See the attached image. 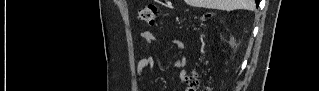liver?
Listing matches in <instances>:
<instances>
[{
    "label": "liver",
    "instance_id": "obj_1",
    "mask_svg": "<svg viewBox=\"0 0 319 91\" xmlns=\"http://www.w3.org/2000/svg\"><path fill=\"white\" fill-rule=\"evenodd\" d=\"M193 7H203L209 9H218L224 11H233L244 9L253 11L255 9V0H185Z\"/></svg>",
    "mask_w": 319,
    "mask_h": 91
}]
</instances>
